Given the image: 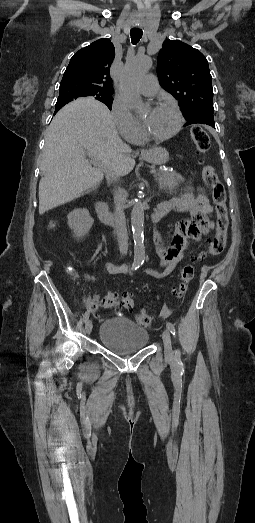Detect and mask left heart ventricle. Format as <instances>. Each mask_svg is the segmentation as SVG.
I'll use <instances>...</instances> for the list:
<instances>
[{"instance_id":"left-heart-ventricle-1","label":"left heart ventricle","mask_w":255,"mask_h":523,"mask_svg":"<svg viewBox=\"0 0 255 523\" xmlns=\"http://www.w3.org/2000/svg\"><path fill=\"white\" fill-rule=\"evenodd\" d=\"M142 126L150 137H159L171 133L177 125V116L170 106L148 109L142 114Z\"/></svg>"}]
</instances>
